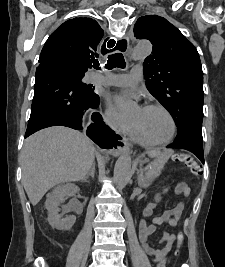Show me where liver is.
<instances>
[{
    "mask_svg": "<svg viewBox=\"0 0 225 267\" xmlns=\"http://www.w3.org/2000/svg\"><path fill=\"white\" fill-rule=\"evenodd\" d=\"M95 147L84 134L55 126L28 137L22 149V182L33 206L52 187L83 180L94 164Z\"/></svg>",
    "mask_w": 225,
    "mask_h": 267,
    "instance_id": "liver-1",
    "label": "liver"
}]
</instances>
